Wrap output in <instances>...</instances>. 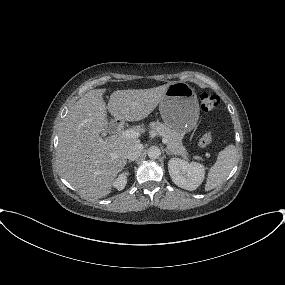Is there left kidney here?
<instances>
[{
	"instance_id": "5707ae66",
	"label": "left kidney",
	"mask_w": 285,
	"mask_h": 285,
	"mask_svg": "<svg viewBox=\"0 0 285 285\" xmlns=\"http://www.w3.org/2000/svg\"><path fill=\"white\" fill-rule=\"evenodd\" d=\"M168 171L172 181L183 189L196 190L205 177V166L198 162H188L172 158L168 162Z\"/></svg>"
}]
</instances>
